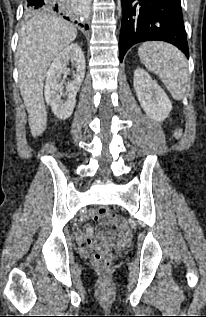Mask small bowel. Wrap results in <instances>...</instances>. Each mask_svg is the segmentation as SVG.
<instances>
[{"mask_svg": "<svg viewBox=\"0 0 206 317\" xmlns=\"http://www.w3.org/2000/svg\"><path fill=\"white\" fill-rule=\"evenodd\" d=\"M90 216L94 219H98V216L96 215V212L92 211L90 212ZM75 233L79 239V241L83 244V245H87L90 242V239L92 237V231L88 230L86 232L82 231L81 228L77 227L75 230ZM130 236V232L129 230L123 225L121 227H119V238L122 242H126L129 239ZM107 238L110 240H113L114 238V233L113 232H109L107 234Z\"/></svg>", "mask_w": 206, "mask_h": 317, "instance_id": "1", "label": "small bowel"}]
</instances>
